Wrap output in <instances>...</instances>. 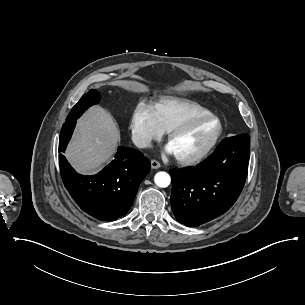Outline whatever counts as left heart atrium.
Masks as SVG:
<instances>
[{
    "mask_svg": "<svg viewBox=\"0 0 305 305\" xmlns=\"http://www.w3.org/2000/svg\"><path fill=\"white\" fill-rule=\"evenodd\" d=\"M169 153H173V150L171 148L168 149Z\"/></svg>",
    "mask_w": 305,
    "mask_h": 305,
    "instance_id": "39dd6f15",
    "label": "left heart atrium"
}]
</instances>
